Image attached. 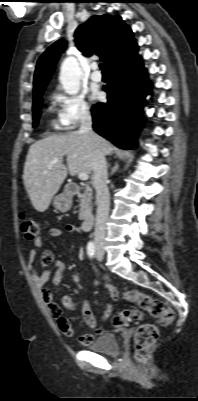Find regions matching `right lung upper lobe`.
Segmentation results:
<instances>
[{"instance_id":"obj_1","label":"right lung upper lobe","mask_w":198,"mask_h":401,"mask_svg":"<svg viewBox=\"0 0 198 401\" xmlns=\"http://www.w3.org/2000/svg\"><path fill=\"white\" fill-rule=\"evenodd\" d=\"M75 42L85 56L99 55L107 68L136 46L131 29L117 15L92 16L77 28ZM65 47V41L58 40L39 57L34 74L33 96L44 91Z\"/></svg>"}]
</instances>
